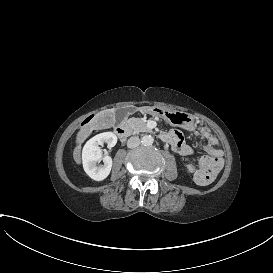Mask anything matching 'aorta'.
Returning a JSON list of instances; mask_svg holds the SVG:
<instances>
[{
    "label": "aorta",
    "mask_w": 273,
    "mask_h": 273,
    "mask_svg": "<svg viewBox=\"0 0 273 273\" xmlns=\"http://www.w3.org/2000/svg\"><path fill=\"white\" fill-rule=\"evenodd\" d=\"M154 142V138L151 136V135H144L142 138H141V143L144 145V146H150L152 145Z\"/></svg>",
    "instance_id": "aorta-1"
}]
</instances>
